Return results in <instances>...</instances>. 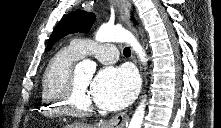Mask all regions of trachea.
I'll use <instances>...</instances> for the list:
<instances>
[{
    "instance_id": "1",
    "label": "trachea",
    "mask_w": 221,
    "mask_h": 128,
    "mask_svg": "<svg viewBox=\"0 0 221 128\" xmlns=\"http://www.w3.org/2000/svg\"><path fill=\"white\" fill-rule=\"evenodd\" d=\"M123 54H124L125 56H129V55L131 54L130 48H129V47L124 48Z\"/></svg>"
}]
</instances>
